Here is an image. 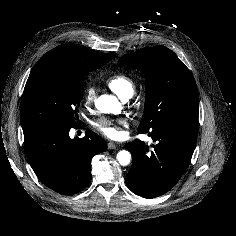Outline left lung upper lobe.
Masks as SVG:
<instances>
[{
  "label": "left lung upper lobe",
  "mask_w": 236,
  "mask_h": 236,
  "mask_svg": "<svg viewBox=\"0 0 236 236\" xmlns=\"http://www.w3.org/2000/svg\"><path fill=\"white\" fill-rule=\"evenodd\" d=\"M120 65L146 76L144 115L138 132L169 121L198 123V90L191 71L166 47H148L122 56Z\"/></svg>",
  "instance_id": "left-lung-upper-lobe-1"
}]
</instances>
